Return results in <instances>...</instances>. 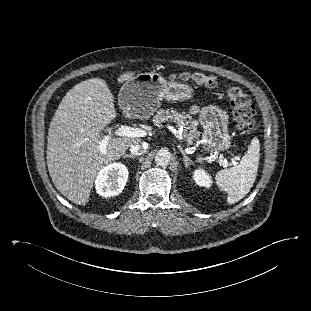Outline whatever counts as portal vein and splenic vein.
<instances>
[{
	"label": "portal vein and splenic vein",
	"mask_w": 311,
	"mask_h": 311,
	"mask_svg": "<svg viewBox=\"0 0 311 311\" xmlns=\"http://www.w3.org/2000/svg\"><path fill=\"white\" fill-rule=\"evenodd\" d=\"M168 129L179 139H183L182 136V130H177L173 126H168ZM146 132L142 129L139 128H133L130 126L122 125L119 127L117 130H114L113 133H109L108 135L103 137V140L99 144V149L101 151H104L105 147L108 144V141L111 139L112 135L115 136H122V137H144L146 136ZM238 160V157L232 158L231 162L233 165H236ZM222 166L223 167H228L227 160L222 161Z\"/></svg>",
	"instance_id": "obj_1"
}]
</instances>
